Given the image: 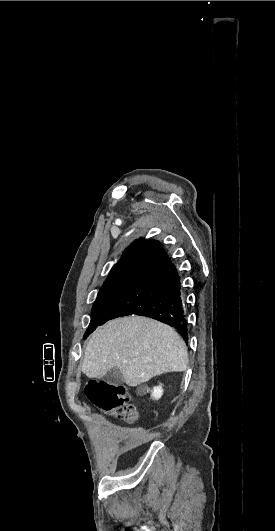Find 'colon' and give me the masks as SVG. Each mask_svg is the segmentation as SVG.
<instances>
[{
  "mask_svg": "<svg viewBox=\"0 0 275 531\" xmlns=\"http://www.w3.org/2000/svg\"><path fill=\"white\" fill-rule=\"evenodd\" d=\"M92 404L101 412L113 415L127 423H133L138 411L131 404L125 386L113 381L91 380L85 389Z\"/></svg>",
  "mask_w": 275,
  "mask_h": 531,
  "instance_id": "obj_1",
  "label": "colon"
}]
</instances>
